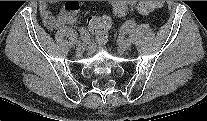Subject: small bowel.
<instances>
[{
  "mask_svg": "<svg viewBox=\"0 0 207 121\" xmlns=\"http://www.w3.org/2000/svg\"><path fill=\"white\" fill-rule=\"evenodd\" d=\"M50 3V1H41L39 4L40 15L47 29L52 31L62 26H74L77 24V12L79 10L77 1H66L62 10L56 15L50 10Z\"/></svg>",
  "mask_w": 207,
  "mask_h": 121,
  "instance_id": "1",
  "label": "small bowel"
}]
</instances>
